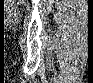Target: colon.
<instances>
[{
    "label": "colon",
    "mask_w": 93,
    "mask_h": 83,
    "mask_svg": "<svg viewBox=\"0 0 93 83\" xmlns=\"http://www.w3.org/2000/svg\"><path fill=\"white\" fill-rule=\"evenodd\" d=\"M12 3H20V2H12Z\"/></svg>",
    "instance_id": "5ec220e1"
}]
</instances>
